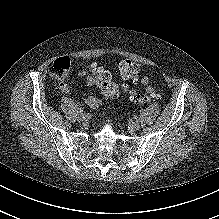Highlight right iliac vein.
<instances>
[{
  "label": "right iliac vein",
  "mask_w": 219,
  "mask_h": 219,
  "mask_svg": "<svg viewBox=\"0 0 219 219\" xmlns=\"http://www.w3.org/2000/svg\"><path fill=\"white\" fill-rule=\"evenodd\" d=\"M87 119V116L85 113H80L79 116H78V121L79 122H85Z\"/></svg>",
  "instance_id": "obj_1"
}]
</instances>
